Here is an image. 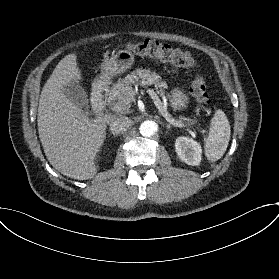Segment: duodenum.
Returning <instances> with one entry per match:
<instances>
[{"label": "duodenum", "mask_w": 279, "mask_h": 279, "mask_svg": "<svg viewBox=\"0 0 279 279\" xmlns=\"http://www.w3.org/2000/svg\"><path fill=\"white\" fill-rule=\"evenodd\" d=\"M91 108L92 111L100 115L104 109V100H103V85L98 83L94 86L92 93H91Z\"/></svg>", "instance_id": "410a0bca"}]
</instances>
